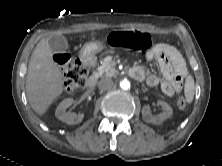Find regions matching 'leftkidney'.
<instances>
[{
    "label": "left kidney",
    "mask_w": 222,
    "mask_h": 166,
    "mask_svg": "<svg viewBox=\"0 0 222 166\" xmlns=\"http://www.w3.org/2000/svg\"><path fill=\"white\" fill-rule=\"evenodd\" d=\"M158 104L161 105L164 110L162 113L158 115H152L150 112V107L148 105H145L142 108V117L144 121L160 125L163 123V121H165L166 119L170 118L173 115V109L168 103L164 101H159Z\"/></svg>",
    "instance_id": "5707ae66"
}]
</instances>
